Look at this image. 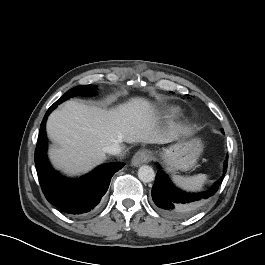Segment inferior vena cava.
<instances>
[{
	"label": "inferior vena cava",
	"mask_w": 265,
	"mask_h": 265,
	"mask_svg": "<svg viewBox=\"0 0 265 265\" xmlns=\"http://www.w3.org/2000/svg\"><path fill=\"white\" fill-rule=\"evenodd\" d=\"M104 151L110 155H119L122 154V147L119 143H113L105 147Z\"/></svg>",
	"instance_id": "1"
}]
</instances>
